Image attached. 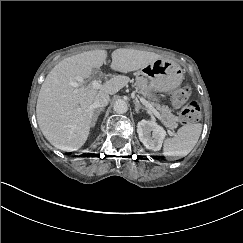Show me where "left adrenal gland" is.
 <instances>
[{
  "instance_id": "obj_1",
  "label": "left adrenal gland",
  "mask_w": 243,
  "mask_h": 243,
  "mask_svg": "<svg viewBox=\"0 0 243 243\" xmlns=\"http://www.w3.org/2000/svg\"><path fill=\"white\" fill-rule=\"evenodd\" d=\"M136 113L139 114V110H144V106L140 105L137 101L134 102Z\"/></svg>"
}]
</instances>
